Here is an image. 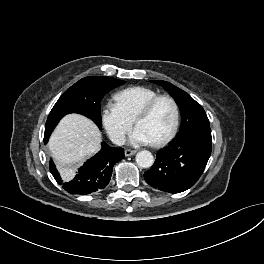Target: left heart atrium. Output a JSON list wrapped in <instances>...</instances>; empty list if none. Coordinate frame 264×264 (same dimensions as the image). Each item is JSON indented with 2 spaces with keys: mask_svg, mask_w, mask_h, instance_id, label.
I'll return each mask as SVG.
<instances>
[{
  "mask_svg": "<svg viewBox=\"0 0 264 264\" xmlns=\"http://www.w3.org/2000/svg\"><path fill=\"white\" fill-rule=\"evenodd\" d=\"M129 142L132 145L139 146L152 143V140L141 128L136 127L129 137Z\"/></svg>",
  "mask_w": 264,
  "mask_h": 264,
  "instance_id": "left-heart-atrium-1",
  "label": "left heart atrium"
}]
</instances>
